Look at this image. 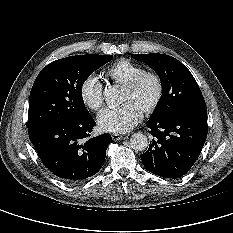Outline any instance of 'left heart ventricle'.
<instances>
[{"instance_id":"1","label":"left heart ventricle","mask_w":233,"mask_h":233,"mask_svg":"<svg viewBox=\"0 0 233 233\" xmlns=\"http://www.w3.org/2000/svg\"><path fill=\"white\" fill-rule=\"evenodd\" d=\"M156 93V84L153 80L147 79L136 91H125L123 95V105L131 103L142 112L152 101Z\"/></svg>"}]
</instances>
